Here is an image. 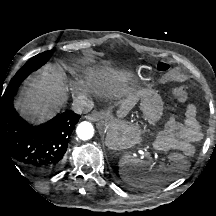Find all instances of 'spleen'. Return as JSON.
I'll use <instances>...</instances> for the list:
<instances>
[{
    "instance_id": "spleen-1",
    "label": "spleen",
    "mask_w": 216,
    "mask_h": 216,
    "mask_svg": "<svg viewBox=\"0 0 216 216\" xmlns=\"http://www.w3.org/2000/svg\"><path fill=\"white\" fill-rule=\"evenodd\" d=\"M121 178L130 185L151 189L156 184H167L176 179L177 165H155L149 160H142L131 155H124L118 162Z\"/></svg>"
}]
</instances>
